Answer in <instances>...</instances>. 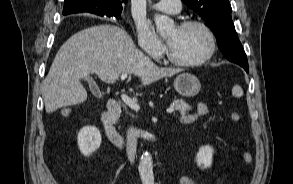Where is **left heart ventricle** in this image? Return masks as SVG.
<instances>
[{
    "instance_id": "obj_1",
    "label": "left heart ventricle",
    "mask_w": 293,
    "mask_h": 184,
    "mask_svg": "<svg viewBox=\"0 0 293 184\" xmlns=\"http://www.w3.org/2000/svg\"><path fill=\"white\" fill-rule=\"evenodd\" d=\"M167 40L171 52L181 60H196L207 52L209 46L207 35L197 27L173 28Z\"/></svg>"
}]
</instances>
